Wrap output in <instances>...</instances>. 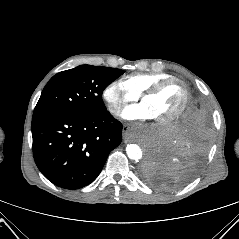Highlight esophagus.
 I'll return each mask as SVG.
<instances>
[{"label": "esophagus", "mask_w": 239, "mask_h": 239, "mask_svg": "<svg viewBox=\"0 0 239 239\" xmlns=\"http://www.w3.org/2000/svg\"><path fill=\"white\" fill-rule=\"evenodd\" d=\"M123 138L125 142L129 141V127L128 126H123Z\"/></svg>", "instance_id": "34e87169"}]
</instances>
